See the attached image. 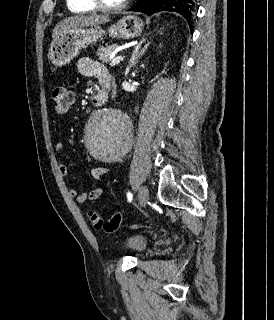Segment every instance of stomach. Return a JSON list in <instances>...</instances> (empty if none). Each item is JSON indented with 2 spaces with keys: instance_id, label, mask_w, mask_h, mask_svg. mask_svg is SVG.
<instances>
[{
  "instance_id": "1",
  "label": "stomach",
  "mask_w": 274,
  "mask_h": 320,
  "mask_svg": "<svg viewBox=\"0 0 274 320\" xmlns=\"http://www.w3.org/2000/svg\"><path fill=\"white\" fill-rule=\"evenodd\" d=\"M143 30V22L137 16H123L116 24H111L107 30H103L101 26H90V28H69L63 30L55 40L51 42L48 52V58L54 66H65L69 64L73 58H76L80 50L88 48L90 44L98 42L99 38H103L105 34H109L110 38H123V40H131L141 36Z\"/></svg>"
}]
</instances>
